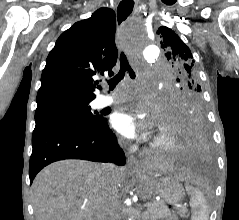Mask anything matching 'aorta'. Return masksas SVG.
<instances>
[{"mask_svg": "<svg viewBox=\"0 0 239 220\" xmlns=\"http://www.w3.org/2000/svg\"><path fill=\"white\" fill-rule=\"evenodd\" d=\"M143 33H126L125 40H145L143 39ZM126 46H140L143 48L144 59L149 61L155 59L159 55L158 47L153 43V45H126ZM129 220H132L129 218Z\"/></svg>", "mask_w": 239, "mask_h": 220, "instance_id": "aorta-1", "label": "aorta"}]
</instances>
